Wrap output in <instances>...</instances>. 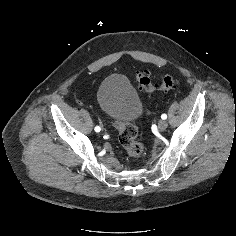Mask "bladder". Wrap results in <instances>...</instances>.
<instances>
[{
    "label": "bladder",
    "mask_w": 236,
    "mask_h": 236,
    "mask_svg": "<svg viewBox=\"0 0 236 236\" xmlns=\"http://www.w3.org/2000/svg\"><path fill=\"white\" fill-rule=\"evenodd\" d=\"M97 100L103 112L115 123H133L144 111L139 95L120 74L110 75L100 83Z\"/></svg>",
    "instance_id": "31cf9c89"
}]
</instances>
